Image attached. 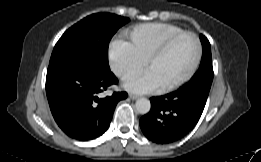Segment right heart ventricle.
Returning a JSON list of instances; mask_svg holds the SVG:
<instances>
[{"label": "right heart ventricle", "instance_id": "right-heart-ventricle-1", "mask_svg": "<svg viewBox=\"0 0 261 162\" xmlns=\"http://www.w3.org/2000/svg\"><path fill=\"white\" fill-rule=\"evenodd\" d=\"M184 31L169 23H148L133 27L128 31L136 52L144 59L169 37Z\"/></svg>", "mask_w": 261, "mask_h": 162}]
</instances>
